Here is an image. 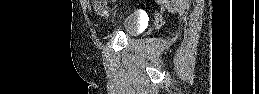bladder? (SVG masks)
Masks as SVG:
<instances>
[{
    "label": "bladder",
    "instance_id": "obj_1",
    "mask_svg": "<svg viewBox=\"0 0 259 94\" xmlns=\"http://www.w3.org/2000/svg\"><path fill=\"white\" fill-rule=\"evenodd\" d=\"M113 30L122 32L127 37H133L141 31V20L136 12H129L112 22Z\"/></svg>",
    "mask_w": 259,
    "mask_h": 94
}]
</instances>
